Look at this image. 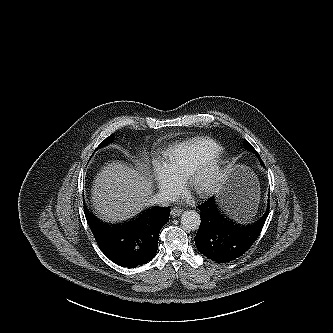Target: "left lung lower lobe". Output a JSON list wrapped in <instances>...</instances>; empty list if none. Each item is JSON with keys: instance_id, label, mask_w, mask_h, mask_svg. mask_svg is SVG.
<instances>
[{"instance_id": "1", "label": "left lung lower lobe", "mask_w": 333, "mask_h": 333, "mask_svg": "<svg viewBox=\"0 0 333 333\" xmlns=\"http://www.w3.org/2000/svg\"><path fill=\"white\" fill-rule=\"evenodd\" d=\"M197 208L201 223L195 236L196 247L201 254L218 263L230 262L244 254L260 235L269 213L268 203L260 220L244 225L227 217L218 207L215 197Z\"/></svg>"}]
</instances>
